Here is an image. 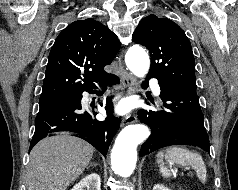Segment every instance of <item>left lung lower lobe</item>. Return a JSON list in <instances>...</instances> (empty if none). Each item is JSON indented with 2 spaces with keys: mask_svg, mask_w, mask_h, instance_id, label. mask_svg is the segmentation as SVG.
<instances>
[{
  "mask_svg": "<svg viewBox=\"0 0 238 190\" xmlns=\"http://www.w3.org/2000/svg\"><path fill=\"white\" fill-rule=\"evenodd\" d=\"M160 110H140L138 118L151 128L142 144L140 156L171 145H192L209 152V138L204 127L199 98L194 90L160 84Z\"/></svg>",
  "mask_w": 238,
  "mask_h": 190,
  "instance_id": "obj_1",
  "label": "left lung lower lobe"
}]
</instances>
